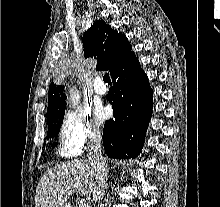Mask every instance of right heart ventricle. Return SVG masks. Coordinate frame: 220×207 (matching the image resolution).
Returning <instances> with one entry per match:
<instances>
[{
	"label": "right heart ventricle",
	"mask_w": 220,
	"mask_h": 207,
	"mask_svg": "<svg viewBox=\"0 0 220 207\" xmlns=\"http://www.w3.org/2000/svg\"><path fill=\"white\" fill-rule=\"evenodd\" d=\"M59 154L65 158H73L78 155V153L71 151V150L64 149L63 147H60Z\"/></svg>",
	"instance_id": "obj_1"
}]
</instances>
